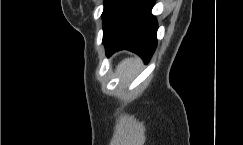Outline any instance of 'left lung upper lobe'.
I'll return each instance as SVG.
<instances>
[{"mask_svg":"<svg viewBox=\"0 0 243 145\" xmlns=\"http://www.w3.org/2000/svg\"><path fill=\"white\" fill-rule=\"evenodd\" d=\"M129 0H105L103 18V35L111 28L114 20L127 5Z\"/></svg>","mask_w":243,"mask_h":145,"instance_id":"obj_1","label":"left lung upper lobe"}]
</instances>
